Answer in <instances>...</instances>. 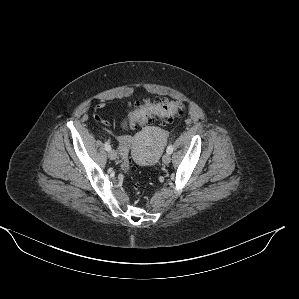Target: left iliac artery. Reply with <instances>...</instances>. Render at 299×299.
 <instances>
[{"instance_id": "1", "label": "left iliac artery", "mask_w": 299, "mask_h": 299, "mask_svg": "<svg viewBox=\"0 0 299 299\" xmlns=\"http://www.w3.org/2000/svg\"><path fill=\"white\" fill-rule=\"evenodd\" d=\"M167 153L168 154H172V152H173V146H172V144H170L168 147H167Z\"/></svg>"}]
</instances>
